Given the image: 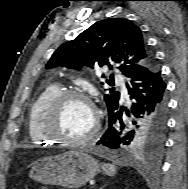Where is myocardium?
I'll return each instance as SVG.
<instances>
[{"instance_id":"myocardium-1","label":"myocardium","mask_w":188,"mask_h":189,"mask_svg":"<svg viewBox=\"0 0 188 189\" xmlns=\"http://www.w3.org/2000/svg\"><path fill=\"white\" fill-rule=\"evenodd\" d=\"M72 99H79L86 102L91 108L94 115V124L91 131L87 135L77 139L64 137L55 130V124L61 107L66 101ZM100 128L101 115L95 102L92 100L90 96L77 90L59 91L47 104L42 116L41 130L44 133V135L64 145L75 146L87 144L97 137Z\"/></svg>"}]
</instances>
